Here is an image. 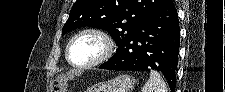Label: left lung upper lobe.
<instances>
[{
  "label": "left lung upper lobe",
  "mask_w": 225,
  "mask_h": 92,
  "mask_svg": "<svg viewBox=\"0 0 225 92\" xmlns=\"http://www.w3.org/2000/svg\"><path fill=\"white\" fill-rule=\"evenodd\" d=\"M167 0H77L62 34L79 27L106 30L118 46L132 38L138 27Z\"/></svg>",
  "instance_id": "obj_1"
}]
</instances>
